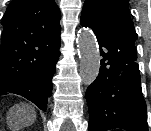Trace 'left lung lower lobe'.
Here are the masks:
<instances>
[{"mask_svg":"<svg viewBox=\"0 0 151 131\" xmlns=\"http://www.w3.org/2000/svg\"><path fill=\"white\" fill-rule=\"evenodd\" d=\"M81 25L94 31L102 56L99 76L86 91L89 131H148L136 59L126 53L114 33L88 20L81 21Z\"/></svg>","mask_w":151,"mask_h":131,"instance_id":"left-lung-lower-lobe-1","label":"left lung lower lobe"}]
</instances>
